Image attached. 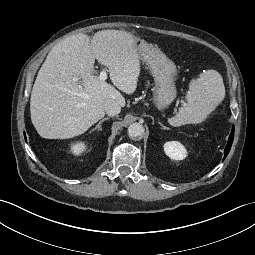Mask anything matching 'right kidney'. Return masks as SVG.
I'll list each match as a JSON object with an SVG mask.
<instances>
[{
	"label": "right kidney",
	"mask_w": 255,
	"mask_h": 255,
	"mask_svg": "<svg viewBox=\"0 0 255 255\" xmlns=\"http://www.w3.org/2000/svg\"><path fill=\"white\" fill-rule=\"evenodd\" d=\"M85 150H86V145L84 142H76V143L71 144V151L75 155H79Z\"/></svg>",
	"instance_id": "1"
}]
</instances>
